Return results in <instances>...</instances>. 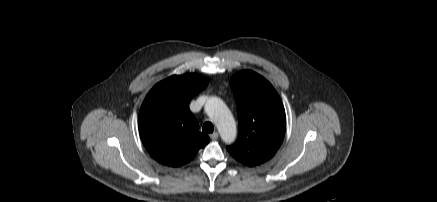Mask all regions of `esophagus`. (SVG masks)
Returning a JSON list of instances; mask_svg holds the SVG:
<instances>
[{"instance_id": "esophagus-1", "label": "esophagus", "mask_w": 437, "mask_h": 202, "mask_svg": "<svg viewBox=\"0 0 437 202\" xmlns=\"http://www.w3.org/2000/svg\"><path fill=\"white\" fill-rule=\"evenodd\" d=\"M218 133L217 132H214V133H212V134H210V138L212 139V140H216L217 138H218Z\"/></svg>"}]
</instances>
